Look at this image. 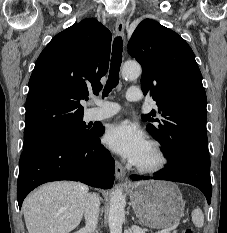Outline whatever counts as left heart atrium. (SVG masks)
<instances>
[{"mask_svg": "<svg viewBox=\"0 0 227 233\" xmlns=\"http://www.w3.org/2000/svg\"><path fill=\"white\" fill-rule=\"evenodd\" d=\"M105 143L114 152L136 164L148 146L143 131L129 121L112 124L104 136Z\"/></svg>", "mask_w": 227, "mask_h": 233, "instance_id": "left-heart-atrium-1", "label": "left heart atrium"}]
</instances>
